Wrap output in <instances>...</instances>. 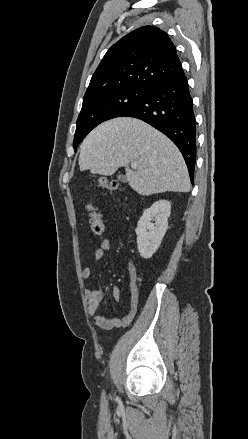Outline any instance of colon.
Masks as SVG:
<instances>
[{
	"mask_svg": "<svg viewBox=\"0 0 248 439\" xmlns=\"http://www.w3.org/2000/svg\"><path fill=\"white\" fill-rule=\"evenodd\" d=\"M97 186L105 188L111 192L119 191L120 185L117 181H108L106 179H100L97 182ZM86 209L89 212V224L91 231L96 235H101L104 231V224L98 208L89 201L86 205Z\"/></svg>",
	"mask_w": 248,
	"mask_h": 439,
	"instance_id": "5ec220e1",
	"label": "colon"
}]
</instances>
